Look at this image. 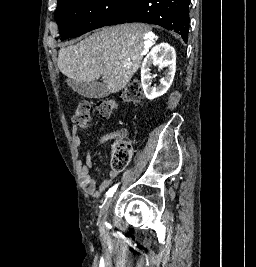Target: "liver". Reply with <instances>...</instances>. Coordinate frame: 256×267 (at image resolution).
<instances>
[{
  "label": "liver",
  "mask_w": 256,
  "mask_h": 267,
  "mask_svg": "<svg viewBox=\"0 0 256 267\" xmlns=\"http://www.w3.org/2000/svg\"><path fill=\"white\" fill-rule=\"evenodd\" d=\"M147 32L145 24H120L95 30L79 44L60 48L57 66L64 76L77 82L102 78L108 92L115 94L136 74Z\"/></svg>",
  "instance_id": "1"
}]
</instances>
